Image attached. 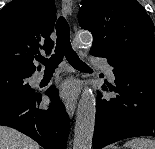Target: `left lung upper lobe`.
<instances>
[{
	"mask_svg": "<svg viewBox=\"0 0 155 149\" xmlns=\"http://www.w3.org/2000/svg\"><path fill=\"white\" fill-rule=\"evenodd\" d=\"M78 18L93 35L91 50L155 54L154 24L136 0H82Z\"/></svg>",
	"mask_w": 155,
	"mask_h": 149,
	"instance_id": "1",
	"label": "left lung upper lobe"
}]
</instances>
